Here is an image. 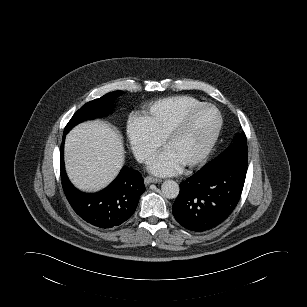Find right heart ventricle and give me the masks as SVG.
<instances>
[{"instance_id": "1", "label": "right heart ventricle", "mask_w": 307, "mask_h": 307, "mask_svg": "<svg viewBox=\"0 0 307 307\" xmlns=\"http://www.w3.org/2000/svg\"><path fill=\"white\" fill-rule=\"evenodd\" d=\"M201 103L189 95H176L159 99L150 104L142 116L150 131L160 140L190 107Z\"/></svg>"}]
</instances>
